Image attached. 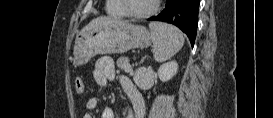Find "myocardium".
<instances>
[{"label": "myocardium", "mask_w": 273, "mask_h": 118, "mask_svg": "<svg viewBox=\"0 0 273 118\" xmlns=\"http://www.w3.org/2000/svg\"><path fill=\"white\" fill-rule=\"evenodd\" d=\"M126 15L135 19H146L153 16L159 9V0H154L152 7L144 12H134L129 9L128 0H121Z\"/></svg>", "instance_id": "obj_1"}]
</instances>
